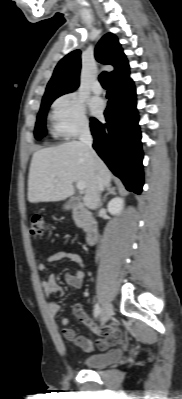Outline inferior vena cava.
Here are the masks:
<instances>
[{
    "label": "inferior vena cava",
    "mask_w": 182,
    "mask_h": 399,
    "mask_svg": "<svg viewBox=\"0 0 182 399\" xmlns=\"http://www.w3.org/2000/svg\"><path fill=\"white\" fill-rule=\"evenodd\" d=\"M79 140L82 144H84L89 149V151L91 152V154L93 156L96 155L94 150L92 149L93 138H92L88 123H83L81 125L80 131H79ZM100 188H101V186H100Z\"/></svg>",
    "instance_id": "obj_1"
}]
</instances>
